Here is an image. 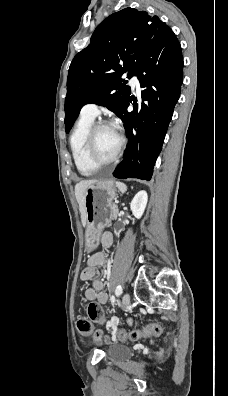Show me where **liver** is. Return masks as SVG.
I'll return each mask as SVG.
<instances>
[{
    "label": "liver",
    "instance_id": "liver-1",
    "mask_svg": "<svg viewBox=\"0 0 228 396\" xmlns=\"http://www.w3.org/2000/svg\"><path fill=\"white\" fill-rule=\"evenodd\" d=\"M94 182L96 181L83 180L75 185V196L79 204V211L81 213V222L83 226L86 225V209H85V201H84L85 190L91 183Z\"/></svg>",
    "mask_w": 228,
    "mask_h": 396
}]
</instances>
